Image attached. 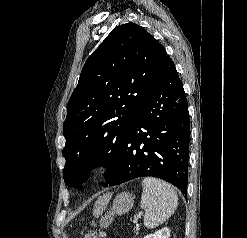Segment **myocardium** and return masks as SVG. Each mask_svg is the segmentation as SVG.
Segmentation results:
<instances>
[{
	"instance_id": "obj_1",
	"label": "myocardium",
	"mask_w": 247,
	"mask_h": 238,
	"mask_svg": "<svg viewBox=\"0 0 247 238\" xmlns=\"http://www.w3.org/2000/svg\"><path fill=\"white\" fill-rule=\"evenodd\" d=\"M107 169V166L103 162H96L91 165L87 171V176L89 178H97L101 176Z\"/></svg>"
}]
</instances>
